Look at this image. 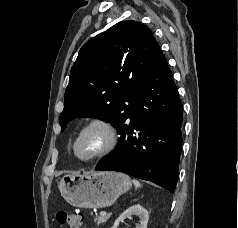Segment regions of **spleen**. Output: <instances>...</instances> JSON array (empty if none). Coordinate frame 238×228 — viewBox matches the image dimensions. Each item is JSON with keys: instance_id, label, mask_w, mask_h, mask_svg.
Here are the masks:
<instances>
[{"instance_id": "1", "label": "spleen", "mask_w": 238, "mask_h": 228, "mask_svg": "<svg viewBox=\"0 0 238 228\" xmlns=\"http://www.w3.org/2000/svg\"><path fill=\"white\" fill-rule=\"evenodd\" d=\"M132 182H133V184H134V186H135L136 189L139 188V187L141 186L140 182L137 181V180H135V179L132 180Z\"/></svg>"}]
</instances>
